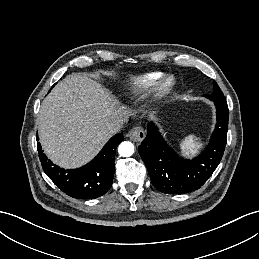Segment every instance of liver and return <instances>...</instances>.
Listing matches in <instances>:
<instances>
[{
	"instance_id": "obj_1",
	"label": "liver",
	"mask_w": 259,
	"mask_h": 259,
	"mask_svg": "<svg viewBox=\"0 0 259 259\" xmlns=\"http://www.w3.org/2000/svg\"><path fill=\"white\" fill-rule=\"evenodd\" d=\"M124 110L102 84L81 73L71 74L42 102L37 117L41 145L55 164L81 167L111 138L108 126Z\"/></svg>"
}]
</instances>
